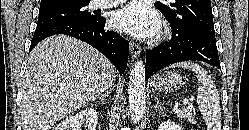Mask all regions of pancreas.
I'll list each match as a JSON object with an SVG mask.
<instances>
[{"label": "pancreas", "instance_id": "cf45deb5", "mask_svg": "<svg viewBox=\"0 0 249 130\" xmlns=\"http://www.w3.org/2000/svg\"><path fill=\"white\" fill-rule=\"evenodd\" d=\"M176 114L179 118L186 119L188 122H190L192 124L197 123L196 118L194 116V113H193L192 109L189 107L182 108L181 110L177 111Z\"/></svg>", "mask_w": 249, "mask_h": 130}]
</instances>
